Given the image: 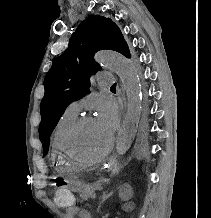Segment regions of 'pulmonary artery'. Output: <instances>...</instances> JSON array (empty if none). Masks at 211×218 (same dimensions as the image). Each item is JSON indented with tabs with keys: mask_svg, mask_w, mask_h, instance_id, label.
<instances>
[{
	"mask_svg": "<svg viewBox=\"0 0 211 218\" xmlns=\"http://www.w3.org/2000/svg\"><path fill=\"white\" fill-rule=\"evenodd\" d=\"M116 75L107 74L105 72L98 75V82L96 83L97 87H102L103 85H115L116 84ZM68 110L78 113L81 109V103L78 100L71 102L68 105Z\"/></svg>",
	"mask_w": 211,
	"mask_h": 218,
	"instance_id": "obj_1",
	"label": "pulmonary artery"
}]
</instances>
